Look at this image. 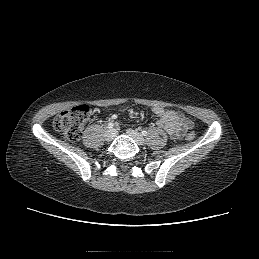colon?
I'll list each match as a JSON object with an SVG mask.
<instances>
[{
	"instance_id": "1",
	"label": "colon",
	"mask_w": 259,
	"mask_h": 259,
	"mask_svg": "<svg viewBox=\"0 0 259 259\" xmlns=\"http://www.w3.org/2000/svg\"><path fill=\"white\" fill-rule=\"evenodd\" d=\"M90 107L87 105H78L59 113L54 121V128L62 136L71 142L78 141L81 137L82 128L90 117ZM195 138L194 132H188L186 139L192 141Z\"/></svg>"
}]
</instances>
